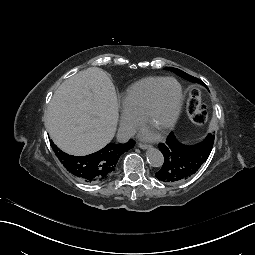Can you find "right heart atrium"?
<instances>
[{"instance_id": "obj_1", "label": "right heart atrium", "mask_w": 255, "mask_h": 255, "mask_svg": "<svg viewBox=\"0 0 255 255\" xmlns=\"http://www.w3.org/2000/svg\"><path fill=\"white\" fill-rule=\"evenodd\" d=\"M138 127L137 118L125 112L123 109L120 111V129L124 136H131Z\"/></svg>"}]
</instances>
